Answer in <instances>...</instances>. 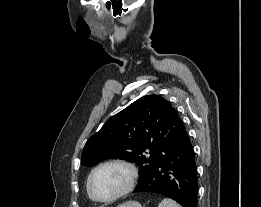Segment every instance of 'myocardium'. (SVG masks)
Wrapping results in <instances>:
<instances>
[{
  "instance_id": "f54148a6",
  "label": "myocardium",
  "mask_w": 261,
  "mask_h": 207,
  "mask_svg": "<svg viewBox=\"0 0 261 207\" xmlns=\"http://www.w3.org/2000/svg\"><path fill=\"white\" fill-rule=\"evenodd\" d=\"M111 165H117V166H121V167L125 168L129 173V180H128V183L125 186V188H123L117 194L113 195L112 197L106 198V199H100L95 195V193L93 191V187H92L93 177L98 170L102 169L103 167L111 166ZM137 179H138V171L132 163L125 161V160H121V159L108 160V161L100 163L90 172V174L88 176V180H87V190H88L90 198L93 201H95L97 203H103V204L111 203V202H114L117 199L127 195L128 193H130L134 189Z\"/></svg>"
}]
</instances>
